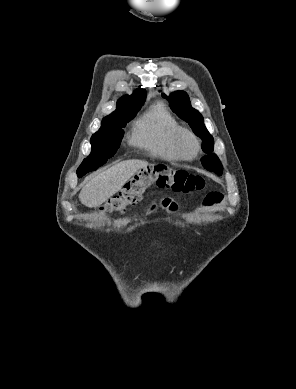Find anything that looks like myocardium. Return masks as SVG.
<instances>
[{
	"instance_id": "f54148a6",
	"label": "myocardium",
	"mask_w": 296,
	"mask_h": 389,
	"mask_svg": "<svg viewBox=\"0 0 296 389\" xmlns=\"http://www.w3.org/2000/svg\"><path fill=\"white\" fill-rule=\"evenodd\" d=\"M187 145L191 146L192 148L191 154H188L186 151ZM173 147L178 157L186 161H192L196 159L201 150L199 138L194 132L186 128H181L178 130L174 137Z\"/></svg>"
}]
</instances>
